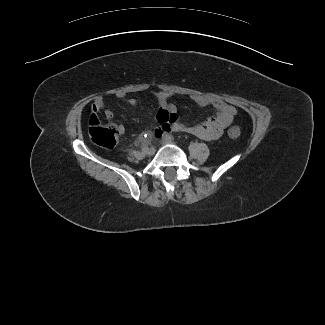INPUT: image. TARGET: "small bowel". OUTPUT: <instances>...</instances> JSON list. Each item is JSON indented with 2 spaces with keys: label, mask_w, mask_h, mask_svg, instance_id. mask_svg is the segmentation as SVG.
Wrapping results in <instances>:
<instances>
[{
  "label": "small bowel",
  "mask_w": 325,
  "mask_h": 325,
  "mask_svg": "<svg viewBox=\"0 0 325 325\" xmlns=\"http://www.w3.org/2000/svg\"><path fill=\"white\" fill-rule=\"evenodd\" d=\"M114 96L130 106H136L138 103L137 99L128 97L124 92H117ZM171 96H173V93L169 91H159L156 93V98L160 107L158 111V120L161 122V126L156 129V133L160 135L171 130L174 132L189 133L204 140H215L223 134L224 130L232 123L236 115L234 106L216 97L191 94L189 98L192 101L201 107L213 108L216 114L214 117L206 119L201 124L187 125L177 119V107L168 102ZM100 111L104 112L107 119H111L113 116L112 110L106 106V98L104 96H98L92 105V113H99ZM118 131L120 134H124V126H118Z\"/></svg>",
  "instance_id": "c3829d8e"
}]
</instances>
